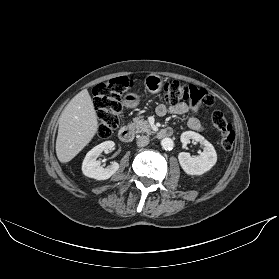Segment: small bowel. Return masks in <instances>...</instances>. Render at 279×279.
I'll return each mask as SVG.
<instances>
[{"label":"small bowel","mask_w":279,"mask_h":279,"mask_svg":"<svg viewBox=\"0 0 279 279\" xmlns=\"http://www.w3.org/2000/svg\"><path fill=\"white\" fill-rule=\"evenodd\" d=\"M196 107L189 105L184 102H180L174 106L167 107L163 104L159 105L156 112L159 116H165L167 114L182 115L188 113L190 110H195ZM189 128L195 131H200L203 129L201 122L196 117H190L187 122Z\"/></svg>","instance_id":"obj_1"}]
</instances>
